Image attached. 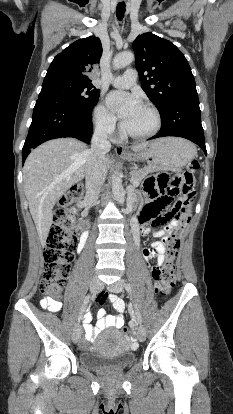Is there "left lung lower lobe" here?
Instances as JSON below:
<instances>
[{"label": "left lung lower lobe", "instance_id": "0a47b994", "mask_svg": "<svg viewBox=\"0 0 233 414\" xmlns=\"http://www.w3.org/2000/svg\"><path fill=\"white\" fill-rule=\"evenodd\" d=\"M160 116L161 129L150 139L165 136L186 138L199 145L205 155L207 154L197 95L173 101Z\"/></svg>", "mask_w": 233, "mask_h": 414}]
</instances>
